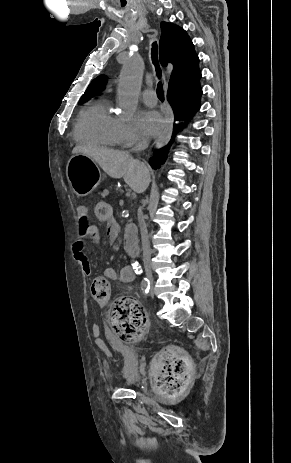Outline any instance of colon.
<instances>
[{"label":"colon","instance_id":"colon-1","mask_svg":"<svg viewBox=\"0 0 291 463\" xmlns=\"http://www.w3.org/2000/svg\"><path fill=\"white\" fill-rule=\"evenodd\" d=\"M93 214L99 220L112 217V206L98 201ZM93 300L106 305L111 299V285L108 279L97 277L91 284ZM111 329L125 341H137L143 338L148 329V321L143 308L131 298L115 299L110 307ZM156 388L171 398L184 392L191 375L189 358L179 349L170 348L160 354L153 368Z\"/></svg>","mask_w":291,"mask_h":463}]
</instances>
